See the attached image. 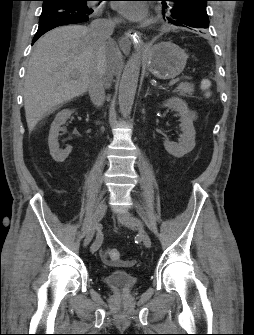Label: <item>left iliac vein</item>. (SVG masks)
I'll return each instance as SVG.
<instances>
[{
  "label": "left iliac vein",
  "instance_id": "1",
  "mask_svg": "<svg viewBox=\"0 0 254 335\" xmlns=\"http://www.w3.org/2000/svg\"><path fill=\"white\" fill-rule=\"evenodd\" d=\"M117 221L119 223H121L122 225L131 227V228H134V229H138L139 230V235H140L145 247L151 248L152 242H151V239H150L149 235L147 234V232L145 230L138 227L137 223L133 220V217L130 213L123 212V213L117 215Z\"/></svg>",
  "mask_w": 254,
  "mask_h": 335
}]
</instances>
